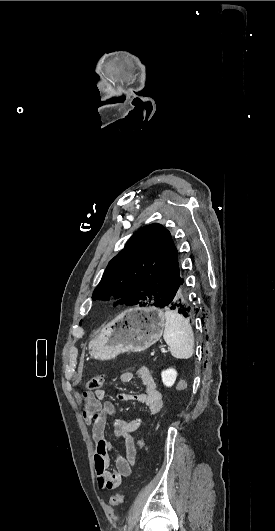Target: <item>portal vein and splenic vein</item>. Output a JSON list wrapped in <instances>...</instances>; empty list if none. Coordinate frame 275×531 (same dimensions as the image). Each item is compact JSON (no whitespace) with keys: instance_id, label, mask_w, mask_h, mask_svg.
<instances>
[{"instance_id":"18ae733b","label":"portal vein and splenic vein","mask_w":275,"mask_h":531,"mask_svg":"<svg viewBox=\"0 0 275 531\" xmlns=\"http://www.w3.org/2000/svg\"><path fill=\"white\" fill-rule=\"evenodd\" d=\"M161 350H165V347H161Z\"/></svg>"}]
</instances>
